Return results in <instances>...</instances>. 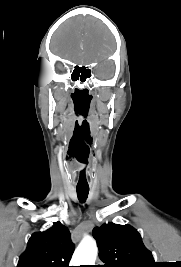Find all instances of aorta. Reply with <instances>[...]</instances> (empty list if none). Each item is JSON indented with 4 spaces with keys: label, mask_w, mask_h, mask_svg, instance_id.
Listing matches in <instances>:
<instances>
[{
    "label": "aorta",
    "mask_w": 181,
    "mask_h": 267,
    "mask_svg": "<svg viewBox=\"0 0 181 267\" xmlns=\"http://www.w3.org/2000/svg\"><path fill=\"white\" fill-rule=\"evenodd\" d=\"M97 252L95 240L89 236L84 237L73 254L72 266L94 265Z\"/></svg>",
    "instance_id": "762f6f07"
}]
</instances>
